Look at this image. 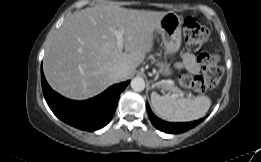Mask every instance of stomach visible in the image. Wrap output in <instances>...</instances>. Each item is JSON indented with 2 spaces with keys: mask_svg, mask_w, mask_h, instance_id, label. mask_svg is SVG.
Returning a JSON list of instances; mask_svg holds the SVG:
<instances>
[{
  "mask_svg": "<svg viewBox=\"0 0 261 162\" xmlns=\"http://www.w3.org/2000/svg\"><path fill=\"white\" fill-rule=\"evenodd\" d=\"M181 25L180 16L173 12H167L155 27V30L161 34L166 54L169 56L175 55L180 49L182 41ZM161 71L166 75L171 74L169 65H161Z\"/></svg>",
  "mask_w": 261,
  "mask_h": 162,
  "instance_id": "stomach-1",
  "label": "stomach"
}]
</instances>
